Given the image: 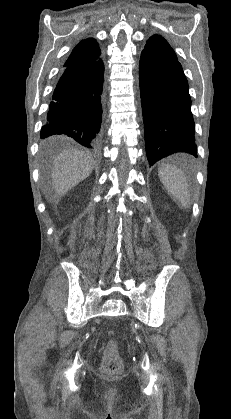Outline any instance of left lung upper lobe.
I'll list each match as a JSON object with an SVG mask.
<instances>
[{
    "label": "left lung upper lobe",
    "instance_id": "1",
    "mask_svg": "<svg viewBox=\"0 0 231 419\" xmlns=\"http://www.w3.org/2000/svg\"><path fill=\"white\" fill-rule=\"evenodd\" d=\"M144 52L163 58L177 60V56L169 43L160 35H153L147 41Z\"/></svg>",
    "mask_w": 231,
    "mask_h": 419
}]
</instances>
